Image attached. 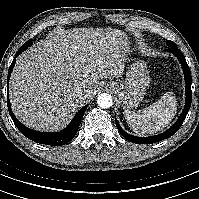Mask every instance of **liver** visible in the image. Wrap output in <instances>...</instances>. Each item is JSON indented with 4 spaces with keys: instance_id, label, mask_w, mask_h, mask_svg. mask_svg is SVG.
<instances>
[{
    "instance_id": "obj_1",
    "label": "liver",
    "mask_w": 199,
    "mask_h": 199,
    "mask_svg": "<svg viewBox=\"0 0 199 199\" xmlns=\"http://www.w3.org/2000/svg\"><path fill=\"white\" fill-rule=\"evenodd\" d=\"M130 45L118 29L73 28L57 31L23 52L10 78L15 116L27 127L59 131L80 106L92 99L99 80L119 78ZM78 88L81 99L74 97Z\"/></svg>"
}]
</instances>
